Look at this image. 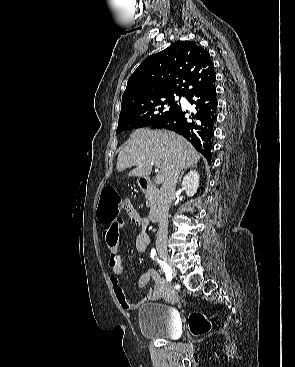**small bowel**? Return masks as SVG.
Instances as JSON below:
<instances>
[{
  "mask_svg": "<svg viewBox=\"0 0 295 367\" xmlns=\"http://www.w3.org/2000/svg\"><path fill=\"white\" fill-rule=\"evenodd\" d=\"M124 210L129 217L130 223L140 227V231L135 236V249L140 253L145 252L150 241L148 234L149 220L142 217L129 200L124 201ZM124 223L125 221L122 218H117L114 221L104 223L105 228L102 232V237L109 251V267L112 272L110 283L114 294L121 308L130 311L137 309L147 301L169 298L170 291L161 274L155 269H149L139 277L137 288L143 289L151 280L154 282L153 287L141 300L134 303L127 300L119 282V276L122 275L124 270L122 256L119 251V232Z\"/></svg>",
  "mask_w": 295,
  "mask_h": 367,
  "instance_id": "c3829d8e",
  "label": "small bowel"
}]
</instances>
